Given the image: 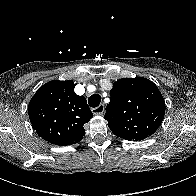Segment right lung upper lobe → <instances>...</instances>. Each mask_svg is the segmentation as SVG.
<instances>
[{"label":"right lung upper lobe","mask_w":196,"mask_h":196,"mask_svg":"<svg viewBox=\"0 0 196 196\" xmlns=\"http://www.w3.org/2000/svg\"><path fill=\"white\" fill-rule=\"evenodd\" d=\"M73 81H50L30 100L29 119L37 134L51 144L67 146L82 140L83 125L93 114L84 96L74 92Z\"/></svg>","instance_id":"right-lung-upper-lobe-1"}]
</instances>
